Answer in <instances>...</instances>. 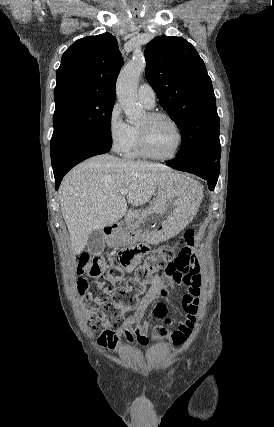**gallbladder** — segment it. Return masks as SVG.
<instances>
[{"label": "gallbladder", "instance_id": "obj_1", "mask_svg": "<svg viewBox=\"0 0 274 427\" xmlns=\"http://www.w3.org/2000/svg\"><path fill=\"white\" fill-rule=\"evenodd\" d=\"M104 233L102 229H94L92 233H90L87 239V247L89 253H93V255H99L104 251Z\"/></svg>", "mask_w": 274, "mask_h": 427}]
</instances>
